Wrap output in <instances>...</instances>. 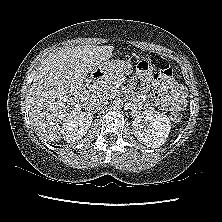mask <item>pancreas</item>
<instances>
[{
	"instance_id": "pancreas-1",
	"label": "pancreas",
	"mask_w": 222,
	"mask_h": 222,
	"mask_svg": "<svg viewBox=\"0 0 222 222\" xmlns=\"http://www.w3.org/2000/svg\"><path fill=\"white\" fill-rule=\"evenodd\" d=\"M120 79V73H112L109 75L106 80L103 82V84L100 87V92L103 93L106 96H112L117 93V87L114 85V82L119 81Z\"/></svg>"
}]
</instances>
